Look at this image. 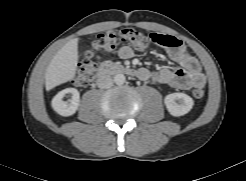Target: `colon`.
<instances>
[{
    "instance_id": "5ec220e1",
    "label": "colon",
    "mask_w": 246,
    "mask_h": 181,
    "mask_svg": "<svg viewBox=\"0 0 246 181\" xmlns=\"http://www.w3.org/2000/svg\"><path fill=\"white\" fill-rule=\"evenodd\" d=\"M149 43H154L163 48H177L181 41L166 34L152 33L146 35L137 28L110 30L98 34L91 44V49L87 51L85 60L78 65L74 79L75 85L84 86L92 80L97 66L98 53L112 51L120 44H128L135 50L144 51ZM204 95L205 91L202 87H196L192 90V96L195 99H201Z\"/></svg>"
}]
</instances>
